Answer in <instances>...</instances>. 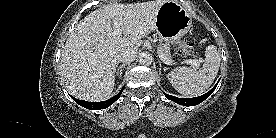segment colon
<instances>
[{"label": "colon", "instance_id": "1", "mask_svg": "<svg viewBox=\"0 0 276 138\" xmlns=\"http://www.w3.org/2000/svg\"><path fill=\"white\" fill-rule=\"evenodd\" d=\"M194 39L187 37L179 45L176 51V59L183 60L193 53Z\"/></svg>", "mask_w": 276, "mask_h": 138}]
</instances>
